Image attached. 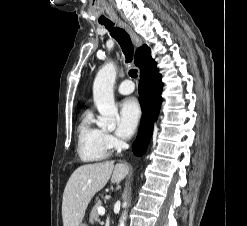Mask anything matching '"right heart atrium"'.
Here are the masks:
<instances>
[{
    "instance_id": "right-heart-atrium-1",
    "label": "right heart atrium",
    "mask_w": 247,
    "mask_h": 226,
    "mask_svg": "<svg viewBox=\"0 0 247 226\" xmlns=\"http://www.w3.org/2000/svg\"><path fill=\"white\" fill-rule=\"evenodd\" d=\"M105 138L109 146H115L118 143L116 137L110 133H106Z\"/></svg>"
}]
</instances>
